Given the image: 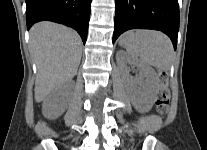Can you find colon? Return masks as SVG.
<instances>
[{
	"instance_id": "5ec220e1",
	"label": "colon",
	"mask_w": 207,
	"mask_h": 150,
	"mask_svg": "<svg viewBox=\"0 0 207 150\" xmlns=\"http://www.w3.org/2000/svg\"><path fill=\"white\" fill-rule=\"evenodd\" d=\"M170 91L168 87V76L165 72L159 73L158 91L156 95V107L160 114H166L169 108Z\"/></svg>"
}]
</instances>
